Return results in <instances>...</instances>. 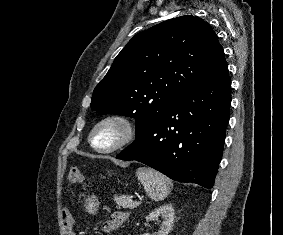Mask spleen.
I'll return each instance as SVG.
<instances>
[{
	"label": "spleen",
	"mask_w": 283,
	"mask_h": 235,
	"mask_svg": "<svg viewBox=\"0 0 283 235\" xmlns=\"http://www.w3.org/2000/svg\"><path fill=\"white\" fill-rule=\"evenodd\" d=\"M136 176L144 186L148 196L155 202L164 200L172 190V181L165 175L151 168H138Z\"/></svg>",
	"instance_id": "spleen-1"
}]
</instances>
